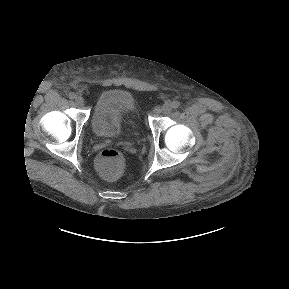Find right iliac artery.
Here are the masks:
<instances>
[{"label": "right iliac artery", "instance_id": "82829eb1", "mask_svg": "<svg viewBox=\"0 0 289 289\" xmlns=\"http://www.w3.org/2000/svg\"><path fill=\"white\" fill-rule=\"evenodd\" d=\"M68 97H69L70 99H75V98H76V94L73 93V92H70V93L68 94Z\"/></svg>", "mask_w": 289, "mask_h": 289}]
</instances>
